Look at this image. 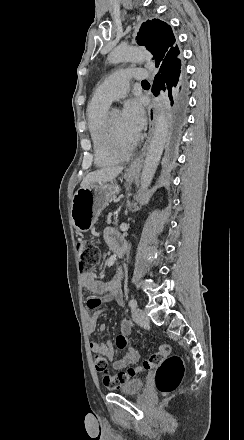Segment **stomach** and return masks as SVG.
I'll return each instance as SVG.
<instances>
[{
    "label": "stomach",
    "instance_id": "0dacf381",
    "mask_svg": "<svg viewBox=\"0 0 244 440\" xmlns=\"http://www.w3.org/2000/svg\"><path fill=\"white\" fill-rule=\"evenodd\" d=\"M136 174L126 172L124 178L127 184H131ZM121 188L116 182H106V184H90L88 188H79L75 192L72 202L70 216L72 224L77 232H89L98 216L106 206L109 198H115L120 194Z\"/></svg>",
    "mask_w": 244,
    "mask_h": 440
}]
</instances>
